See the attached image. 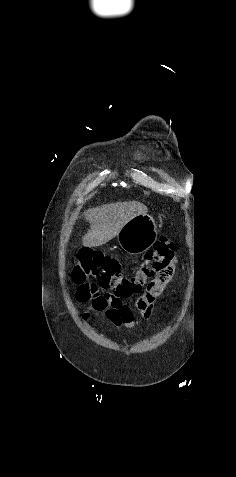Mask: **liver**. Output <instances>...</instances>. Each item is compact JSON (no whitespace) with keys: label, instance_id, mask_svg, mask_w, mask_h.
Masks as SVG:
<instances>
[{"label":"liver","instance_id":"liver-1","mask_svg":"<svg viewBox=\"0 0 236 477\" xmlns=\"http://www.w3.org/2000/svg\"><path fill=\"white\" fill-rule=\"evenodd\" d=\"M147 214V207L136 201L118 202L89 209L84 213L90 224L82 243L88 247L102 246L118 235L133 217Z\"/></svg>","mask_w":236,"mask_h":477}]
</instances>
